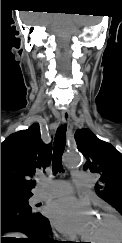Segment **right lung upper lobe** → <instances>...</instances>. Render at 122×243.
<instances>
[{
	"mask_svg": "<svg viewBox=\"0 0 122 243\" xmlns=\"http://www.w3.org/2000/svg\"><path fill=\"white\" fill-rule=\"evenodd\" d=\"M52 144L41 140L40 127L11 134L1 143V200L32 196L31 177L51 163Z\"/></svg>",
	"mask_w": 122,
	"mask_h": 243,
	"instance_id": "1",
	"label": "right lung upper lobe"
}]
</instances>
